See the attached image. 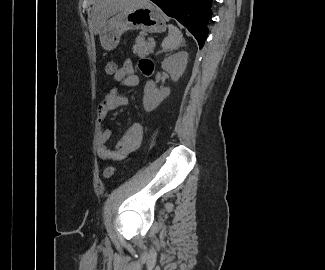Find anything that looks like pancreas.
I'll return each mask as SVG.
<instances>
[{"label":"pancreas","instance_id":"pancreas-1","mask_svg":"<svg viewBox=\"0 0 325 270\" xmlns=\"http://www.w3.org/2000/svg\"><path fill=\"white\" fill-rule=\"evenodd\" d=\"M153 51L151 39L145 40L143 37L138 36L133 46V53L144 57Z\"/></svg>","mask_w":325,"mask_h":270}]
</instances>
